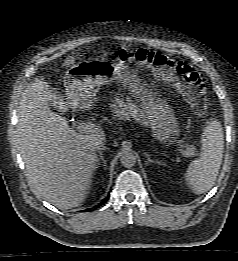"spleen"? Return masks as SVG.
Instances as JSON below:
<instances>
[{
  "label": "spleen",
  "mask_w": 238,
  "mask_h": 261,
  "mask_svg": "<svg viewBox=\"0 0 238 261\" xmlns=\"http://www.w3.org/2000/svg\"><path fill=\"white\" fill-rule=\"evenodd\" d=\"M201 143L200 157L189 164L185 174L188 187L197 195L213 187L222 163L224 136L218 120L210 119L207 122Z\"/></svg>",
  "instance_id": "obj_1"
}]
</instances>
